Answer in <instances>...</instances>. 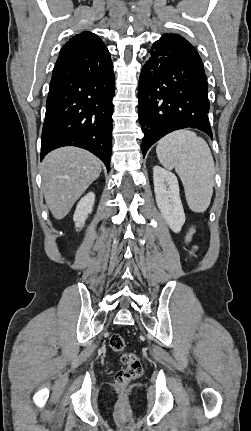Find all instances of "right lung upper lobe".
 I'll list each match as a JSON object with an SVG mask.
<instances>
[{
	"label": "right lung upper lobe",
	"instance_id": "right-lung-upper-lobe-1",
	"mask_svg": "<svg viewBox=\"0 0 251 431\" xmlns=\"http://www.w3.org/2000/svg\"><path fill=\"white\" fill-rule=\"evenodd\" d=\"M105 45L94 33L85 31L73 36L61 49V52H75L84 48H96L104 50Z\"/></svg>",
	"mask_w": 251,
	"mask_h": 431
}]
</instances>
